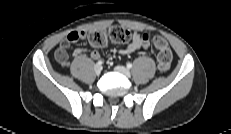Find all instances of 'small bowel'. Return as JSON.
Listing matches in <instances>:
<instances>
[{"label":"small bowel","mask_w":231,"mask_h":134,"mask_svg":"<svg viewBox=\"0 0 231 134\" xmlns=\"http://www.w3.org/2000/svg\"><path fill=\"white\" fill-rule=\"evenodd\" d=\"M87 32L85 30H77L70 32L65 39L60 43L58 49L55 52V59L61 65H68V48L72 43L77 42L80 39H85ZM150 34L133 32L132 38L129 44L118 50L121 55H128L141 49H148L150 47ZM85 54H89L93 59H99L101 53L97 50L88 51L86 48L79 47L73 50L72 56L79 57Z\"/></svg>","instance_id":"c3829d8e"}]
</instances>
